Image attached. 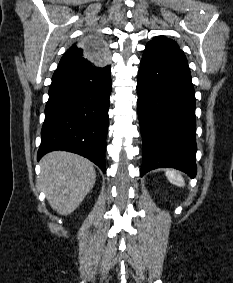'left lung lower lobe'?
Returning <instances> with one entry per match:
<instances>
[{"label":"left lung lower lobe","instance_id":"0a47b994","mask_svg":"<svg viewBox=\"0 0 233 283\" xmlns=\"http://www.w3.org/2000/svg\"><path fill=\"white\" fill-rule=\"evenodd\" d=\"M137 90L143 138L141 176L155 168L173 167L194 177L195 91L182 50L146 45Z\"/></svg>","mask_w":233,"mask_h":283}]
</instances>
